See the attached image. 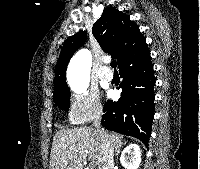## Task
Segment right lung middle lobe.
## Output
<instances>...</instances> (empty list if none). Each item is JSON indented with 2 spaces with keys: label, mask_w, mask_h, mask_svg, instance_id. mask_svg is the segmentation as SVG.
<instances>
[{
  "label": "right lung middle lobe",
  "mask_w": 200,
  "mask_h": 169,
  "mask_svg": "<svg viewBox=\"0 0 200 169\" xmlns=\"http://www.w3.org/2000/svg\"><path fill=\"white\" fill-rule=\"evenodd\" d=\"M69 98H70V92L53 95V99L56 105L65 111H68L69 109V104H70Z\"/></svg>",
  "instance_id": "1"
}]
</instances>
